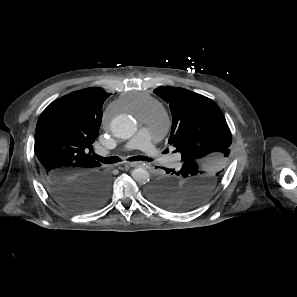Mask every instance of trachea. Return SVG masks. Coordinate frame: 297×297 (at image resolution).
<instances>
[{
  "mask_svg": "<svg viewBox=\"0 0 297 297\" xmlns=\"http://www.w3.org/2000/svg\"><path fill=\"white\" fill-rule=\"evenodd\" d=\"M93 157L96 160H98L99 162L104 163V164H113V163H117V162L121 161V159L117 156L102 157L97 154H93ZM127 160L128 161H152L151 158L146 157V156H134V157L128 158Z\"/></svg>",
  "mask_w": 297,
  "mask_h": 297,
  "instance_id": "3493384b",
  "label": "trachea"
}]
</instances>
